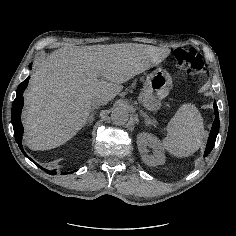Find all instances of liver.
Instances as JSON below:
<instances>
[{
  "label": "liver",
  "mask_w": 236,
  "mask_h": 236,
  "mask_svg": "<svg viewBox=\"0 0 236 236\" xmlns=\"http://www.w3.org/2000/svg\"><path fill=\"white\" fill-rule=\"evenodd\" d=\"M170 53L169 48L140 43L55 50L39 63L25 94L26 144L33 150H48L66 143L87 123L92 106L101 99L104 104L114 99L122 83L146 69L143 64L151 55Z\"/></svg>",
  "instance_id": "obj_1"
}]
</instances>
